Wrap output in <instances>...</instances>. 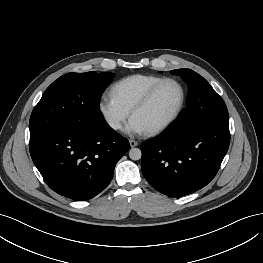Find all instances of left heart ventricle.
<instances>
[{"mask_svg": "<svg viewBox=\"0 0 263 263\" xmlns=\"http://www.w3.org/2000/svg\"><path fill=\"white\" fill-rule=\"evenodd\" d=\"M180 99V88L175 83L167 82L156 91L148 105L132 118L147 131L166 121L177 109Z\"/></svg>", "mask_w": 263, "mask_h": 263, "instance_id": "obj_1", "label": "left heart ventricle"}]
</instances>
